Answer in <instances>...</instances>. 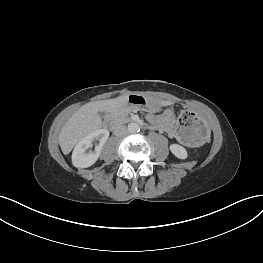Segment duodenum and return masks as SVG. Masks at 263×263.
<instances>
[{
  "label": "duodenum",
  "instance_id": "obj_1",
  "mask_svg": "<svg viewBox=\"0 0 263 263\" xmlns=\"http://www.w3.org/2000/svg\"><path fill=\"white\" fill-rule=\"evenodd\" d=\"M106 127L113 128L115 126V121L112 115H107L104 121Z\"/></svg>",
  "mask_w": 263,
  "mask_h": 263
}]
</instances>
